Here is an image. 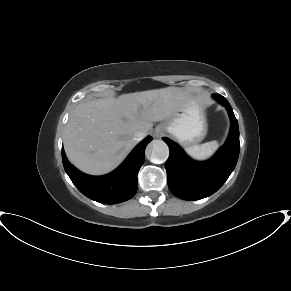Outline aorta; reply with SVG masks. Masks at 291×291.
I'll use <instances>...</instances> for the list:
<instances>
[{"mask_svg":"<svg viewBox=\"0 0 291 291\" xmlns=\"http://www.w3.org/2000/svg\"><path fill=\"white\" fill-rule=\"evenodd\" d=\"M150 160L153 163L160 164L169 157L168 145L163 140H153L148 146Z\"/></svg>","mask_w":291,"mask_h":291,"instance_id":"1","label":"aorta"}]
</instances>
